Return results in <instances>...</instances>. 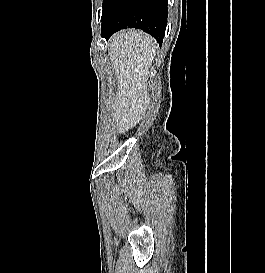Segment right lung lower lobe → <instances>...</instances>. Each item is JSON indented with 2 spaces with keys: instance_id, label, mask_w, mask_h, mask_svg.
Segmentation results:
<instances>
[{
  "instance_id": "obj_1",
  "label": "right lung lower lobe",
  "mask_w": 265,
  "mask_h": 273,
  "mask_svg": "<svg viewBox=\"0 0 265 273\" xmlns=\"http://www.w3.org/2000/svg\"><path fill=\"white\" fill-rule=\"evenodd\" d=\"M168 0H114L102 21L101 36L109 38L124 28H139L162 43L167 25Z\"/></svg>"
}]
</instances>
